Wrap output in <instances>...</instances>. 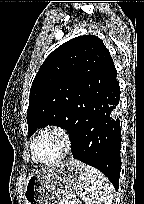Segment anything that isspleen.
Wrapping results in <instances>:
<instances>
[{
	"mask_svg": "<svg viewBox=\"0 0 144 204\" xmlns=\"http://www.w3.org/2000/svg\"><path fill=\"white\" fill-rule=\"evenodd\" d=\"M86 176V204H111L114 189L108 178L91 166H86Z\"/></svg>",
	"mask_w": 144,
	"mask_h": 204,
	"instance_id": "obj_1",
	"label": "spleen"
}]
</instances>
